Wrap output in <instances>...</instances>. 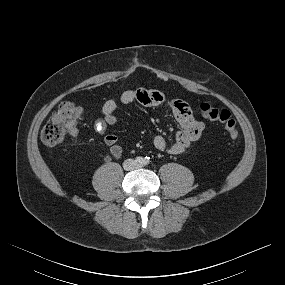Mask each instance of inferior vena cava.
Returning a JSON list of instances; mask_svg holds the SVG:
<instances>
[{
    "label": "inferior vena cava",
    "mask_w": 285,
    "mask_h": 285,
    "mask_svg": "<svg viewBox=\"0 0 285 285\" xmlns=\"http://www.w3.org/2000/svg\"><path fill=\"white\" fill-rule=\"evenodd\" d=\"M127 162H130V163H133V160L132 159H128ZM127 169H133L134 167H126Z\"/></svg>",
    "instance_id": "1"
}]
</instances>
